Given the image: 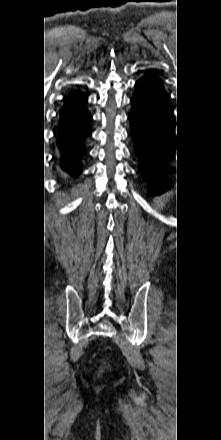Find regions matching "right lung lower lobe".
<instances>
[{
	"label": "right lung lower lobe",
	"instance_id": "right-lung-lower-lobe-1",
	"mask_svg": "<svg viewBox=\"0 0 221 440\" xmlns=\"http://www.w3.org/2000/svg\"><path fill=\"white\" fill-rule=\"evenodd\" d=\"M87 98L79 91L67 96L59 122L57 145L61 166L72 176L81 172V157L85 154V139L91 134V116L86 107Z\"/></svg>",
	"mask_w": 221,
	"mask_h": 440
}]
</instances>
